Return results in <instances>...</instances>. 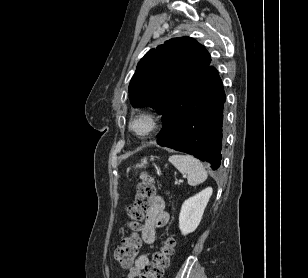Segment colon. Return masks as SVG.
<instances>
[{
    "label": "colon",
    "mask_w": 308,
    "mask_h": 278,
    "mask_svg": "<svg viewBox=\"0 0 308 278\" xmlns=\"http://www.w3.org/2000/svg\"><path fill=\"white\" fill-rule=\"evenodd\" d=\"M155 196L153 179L147 173H142L137 186L134 204L128 208V227L131 232L125 236L114 253L115 260L122 268L132 267L138 254L141 242L138 231L144 215L152 207ZM175 241L172 237L163 240L162 246L154 254L153 260L147 264L140 278H162L169 266L170 257L174 253Z\"/></svg>",
    "instance_id": "obj_1"
}]
</instances>
